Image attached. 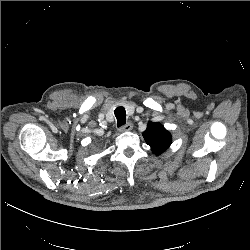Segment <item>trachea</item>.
Listing matches in <instances>:
<instances>
[{"label":"trachea","instance_id":"obj_1","mask_svg":"<svg viewBox=\"0 0 250 250\" xmlns=\"http://www.w3.org/2000/svg\"><path fill=\"white\" fill-rule=\"evenodd\" d=\"M117 119V126L121 127L126 123V111L123 107H117L114 111Z\"/></svg>","mask_w":250,"mask_h":250}]
</instances>
